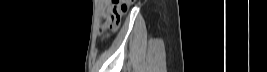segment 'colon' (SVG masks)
I'll return each mask as SVG.
<instances>
[{
  "instance_id": "colon-1",
  "label": "colon",
  "mask_w": 267,
  "mask_h": 72,
  "mask_svg": "<svg viewBox=\"0 0 267 72\" xmlns=\"http://www.w3.org/2000/svg\"><path fill=\"white\" fill-rule=\"evenodd\" d=\"M133 2L134 0H110V7L107 16L105 13V25L102 32L115 30L119 26L123 15L127 12L129 5Z\"/></svg>"
}]
</instances>
